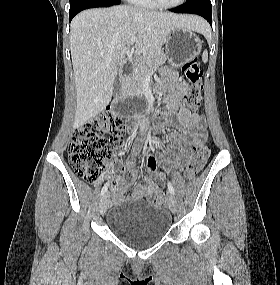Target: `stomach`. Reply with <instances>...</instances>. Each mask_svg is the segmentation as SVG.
Listing matches in <instances>:
<instances>
[{
	"mask_svg": "<svg viewBox=\"0 0 280 285\" xmlns=\"http://www.w3.org/2000/svg\"><path fill=\"white\" fill-rule=\"evenodd\" d=\"M165 47L168 61L180 65L199 55L202 43L192 30L181 26L170 32Z\"/></svg>",
	"mask_w": 280,
	"mask_h": 285,
	"instance_id": "1",
	"label": "stomach"
}]
</instances>
